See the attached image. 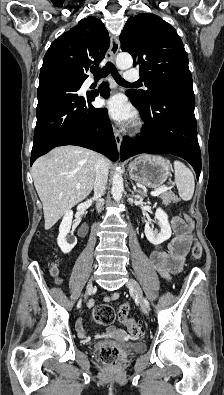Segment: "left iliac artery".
Segmentation results:
<instances>
[{
  "mask_svg": "<svg viewBox=\"0 0 224 395\" xmlns=\"http://www.w3.org/2000/svg\"><path fill=\"white\" fill-rule=\"evenodd\" d=\"M145 303H146V305L148 306V308H149V303H148V301L145 299Z\"/></svg>",
  "mask_w": 224,
  "mask_h": 395,
  "instance_id": "44dca946",
  "label": "left iliac artery"
}]
</instances>
